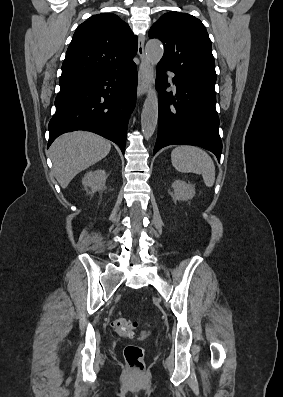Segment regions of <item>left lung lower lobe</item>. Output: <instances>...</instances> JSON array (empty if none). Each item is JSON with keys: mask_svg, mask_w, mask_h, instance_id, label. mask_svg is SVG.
<instances>
[{"mask_svg": "<svg viewBox=\"0 0 283 397\" xmlns=\"http://www.w3.org/2000/svg\"><path fill=\"white\" fill-rule=\"evenodd\" d=\"M166 70L157 66L156 89L159 91L158 137L155 154L168 145H195L213 152L218 161L222 153L216 94L178 77L172 80L176 94L166 92Z\"/></svg>", "mask_w": 283, "mask_h": 397, "instance_id": "0a47b994", "label": "left lung lower lobe"}]
</instances>
